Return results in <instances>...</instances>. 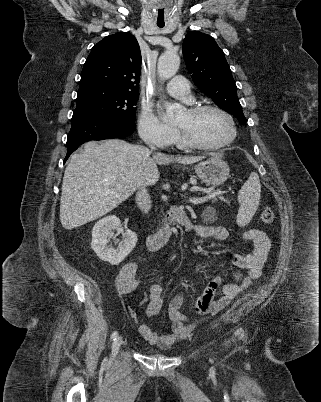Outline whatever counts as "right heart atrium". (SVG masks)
<instances>
[{
  "label": "right heart atrium",
  "mask_w": 321,
  "mask_h": 402,
  "mask_svg": "<svg viewBox=\"0 0 321 402\" xmlns=\"http://www.w3.org/2000/svg\"><path fill=\"white\" fill-rule=\"evenodd\" d=\"M137 127L141 139L158 148L170 146L177 136L176 129L162 122L149 108L141 110Z\"/></svg>",
  "instance_id": "1"
}]
</instances>
